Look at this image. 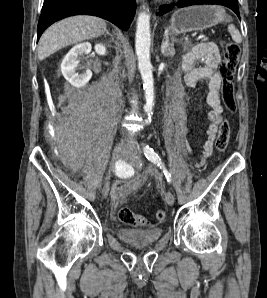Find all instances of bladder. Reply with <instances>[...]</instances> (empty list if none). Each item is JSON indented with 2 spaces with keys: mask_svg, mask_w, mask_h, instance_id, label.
Masks as SVG:
<instances>
[{
  "mask_svg": "<svg viewBox=\"0 0 267 298\" xmlns=\"http://www.w3.org/2000/svg\"><path fill=\"white\" fill-rule=\"evenodd\" d=\"M163 234L161 227H153L149 229H135V228H119L117 230V237L134 247H146L157 242Z\"/></svg>",
  "mask_w": 267,
  "mask_h": 298,
  "instance_id": "1",
  "label": "bladder"
}]
</instances>
